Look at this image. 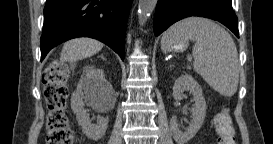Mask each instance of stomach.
<instances>
[{
	"label": "stomach",
	"instance_id": "stomach-1",
	"mask_svg": "<svg viewBox=\"0 0 273 144\" xmlns=\"http://www.w3.org/2000/svg\"><path fill=\"white\" fill-rule=\"evenodd\" d=\"M188 42L183 39L174 40L169 45H167V51L172 52H182L187 48Z\"/></svg>",
	"mask_w": 273,
	"mask_h": 144
}]
</instances>
